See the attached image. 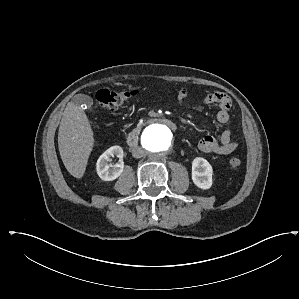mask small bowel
Returning a JSON list of instances; mask_svg holds the SVG:
<instances>
[{
    "label": "small bowel",
    "instance_id": "c3829d8e",
    "mask_svg": "<svg viewBox=\"0 0 299 299\" xmlns=\"http://www.w3.org/2000/svg\"><path fill=\"white\" fill-rule=\"evenodd\" d=\"M186 96L187 91L181 89L178 92L179 103H183ZM203 104L216 110V119L220 124L226 125L229 123L231 99L228 95L221 92L208 94L204 97ZM237 146L238 144L232 141V133L229 129L223 130L219 139L212 136H205L198 143L200 151L218 155H229L237 149Z\"/></svg>",
    "mask_w": 299,
    "mask_h": 299
}]
</instances>
